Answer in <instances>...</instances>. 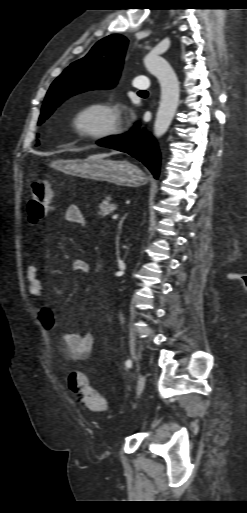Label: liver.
I'll return each instance as SVG.
<instances>
[{
  "mask_svg": "<svg viewBox=\"0 0 247 513\" xmlns=\"http://www.w3.org/2000/svg\"><path fill=\"white\" fill-rule=\"evenodd\" d=\"M113 154H116V152H111L110 154H96V155L90 156L89 158H104V157H107V156L113 155Z\"/></svg>",
  "mask_w": 247,
  "mask_h": 513,
  "instance_id": "6515ba94",
  "label": "liver"
}]
</instances>
